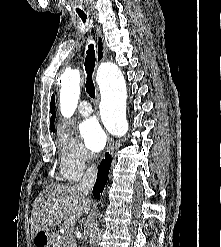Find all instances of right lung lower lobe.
Segmentation results:
<instances>
[{
	"mask_svg": "<svg viewBox=\"0 0 221 247\" xmlns=\"http://www.w3.org/2000/svg\"><path fill=\"white\" fill-rule=\"evenodd\" d=\"M110 165L111 157L109 153H106L105 159H103L99 165L96 183L93 187V196L98 200H100V195L102 194L107 182Z\"/></svg>",
	"mask_w": 221,
	"mask_h": 247,
	"instance_id": "obj_1",
	"label": "right lung lower lobe"
}]
</instances>
